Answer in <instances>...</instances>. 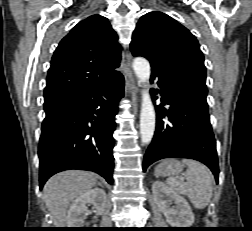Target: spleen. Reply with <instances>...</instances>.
<instances>
[{
    "label": "spleen",
    "mask_w": 252,
    "mask_h": 231,
    "mask_svg": "<svg viewBox=\"0 0 252 231\" xmlns=\"http://www.w3.org/2000/svg\"><path fill=\"white\" fill-rule=\"evenodd\" d=\"M182 162L187 166L186 182L176 177H169L166 182L172 190L186 196L195 208L203 209L210 203L213 194L211 172L195 160L183 159Z\"/></svg>",
    "instance_id": "spleen-1"
}]
</instances>
